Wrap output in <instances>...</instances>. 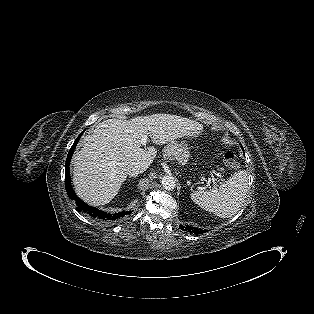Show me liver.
I'll use <instances>...</instances> for the list:
<instances>
[{
	"label": "liver",
	"instance_id": "obj_1",
	"mask_svg": "<svg viewBox=\"0 0 314 314\" xmlns=\"http://www.w3.org/2000/svg\"><path fill=\"white\" fill-rule=\"evenodd\" d=\"M201 130L198 122L172 114L99 123L91 135L82 139V148L73 157L77 195L92 205L109 203L126 180L128 165H141L145 171L153 163L157 151L154 147L143 149V137L149 136L154 144L164 145Z\"/></svg>",
	"mask_w": 314,
	"mask_h": 314
}]
</instances>
